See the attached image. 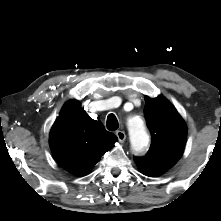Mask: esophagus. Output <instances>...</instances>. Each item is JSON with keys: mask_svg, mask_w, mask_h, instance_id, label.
I'll return each mask as SVG.
<instances>
[{"mask_svg": "<svg viewBox=\"0 0 221 221\" xmlns=\"http://www.w3.org/2000/svg\"><path fill=\"white\" fill-rule=\"evenodd\" d=\"M116 136H117V138H118V140H119L120 142H124L125 139H126V134H125V132H124V131H121V130H119V131L116 132Z\"/></svg>", "mask_w": 221, "mask_h": 221, "instance_id": "obj_1", "label": "esophagus"}]
</instances>
